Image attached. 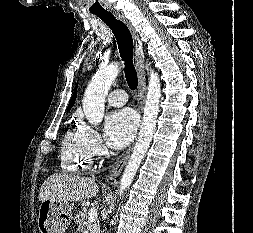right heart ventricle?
Segmentation results:
<instances>
[{
    "label": "right heart ventricle",
    "mask_w": 253,
    "mask_h": 233,
    "mask_svg": "<svg viewBox=\"0 0 253 233\" xmlns=\"http://www.w3.org/2000/svg\"><path fill=\"white\" fill-rule=\"evenodd\" d=\"M92 152L82 128L68 130L61 143L60 165L68 172L78 173L90 168Z\"/></svg>",
    "instance_id": "1"
}]
</instances>
